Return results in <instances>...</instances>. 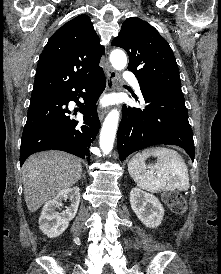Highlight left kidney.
<instances>
[{
  "instance_id": "obj_1",
  "label": "left kidney",
  "mask_w": 221,
  "mask_h": 274,
  "mask_svg": "<svg viewBox=\"0 0 221 274\" xmlns=\"http://www.w3.org/2000/svg\"><path fill=\"white\" fill-rule=\"evenodd\" d=\"M130 205L139 220L148 228L158 227L163 220L164 209L160 201L152 194L139 188H132Z\"/></svg>"
}]
</instances>
